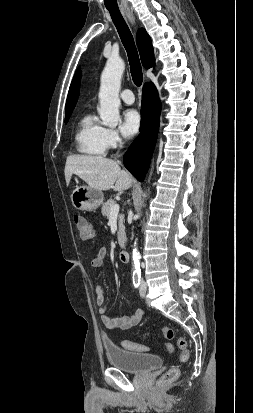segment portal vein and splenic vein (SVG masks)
Segmentation results:
<instances>
[{"mask_svg": "<svg viewBox=\"0 0 253 413\" xmlns=\"http://www.w3.org/2000/svg\"><path fill=\"white\" fill-rule=\"evenodd\" d=\"M119 204H115V205H113L112 207H111V212H110V215L112 216V215H117L118 214V212H119Z\"/></svg>", "mask_w": 253, "mask_h": 413, "instance_id": "18ae733b", "label": "portal vein and splenic vein"}]
</instances>
